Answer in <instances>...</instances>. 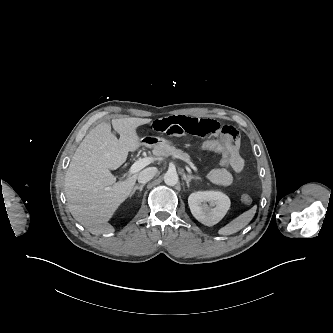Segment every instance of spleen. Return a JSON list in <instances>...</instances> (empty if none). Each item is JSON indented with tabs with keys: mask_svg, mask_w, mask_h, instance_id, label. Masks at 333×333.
<instances>
[{
	"mask_svg": "<svg viewBox=\"0 0 333 333\" xmlns=\"http://www.w3.org/2000/svg\"><path fill=\"white\" fill-rule=\"evenodd\" d=\"M257 210V206H253L251 209L245 211L240 214L236 218H234L231 222H229L224 227L218 230L219 235H231L234 234L241 229H243L254 217Z\"/></svg>",
	"mask_w": 333,
	"mask_h": 333,
	"instance_id": "3e777b00",
	"label": "spleen"
}]
</instances>
